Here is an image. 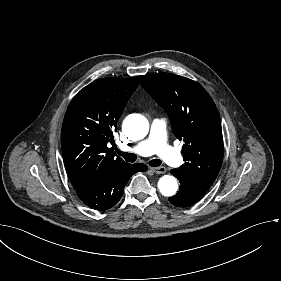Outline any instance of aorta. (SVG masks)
Listing matches in <instances>:
<instances>
[{"label":"aorta","instance_id":"762f6f07","mask_svg":"<svg viewBox=\"0 0 281 281\" xmlns=\"http://www.w3.org/2000/svg\"><path fill=\"white\" fill-rule=\"evenodd\" d=\"M123 129L132 139L139 140L148 134L149 122L144 116L133 114L125 120ZM158 188L162 195L173 196L178 189L177 180L171 175H164L159 179Z\"/></svg>","mask_w":281,"mask_h":281}]
</instances>
